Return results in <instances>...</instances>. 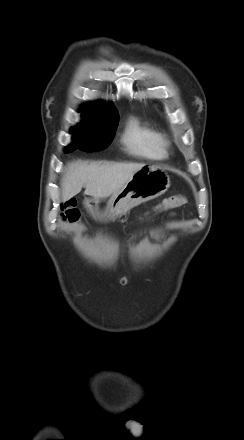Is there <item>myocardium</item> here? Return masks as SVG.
<instances>
[{"label": "myocardium", "mask_w": 244, "mask_h": 440, "mask_svg": "<svg viewBox=\"0 0 244 440\" xmlns=\"http://www.w3.org/2000/svg\"><path fill=\"white\" fill-rule=\"evenodd\" d=\"M155 143L159 150L167 152L171 147L170 140L163 134H156Z\"/></svg>", "instance_id": "obj_1"}]
</instances>
